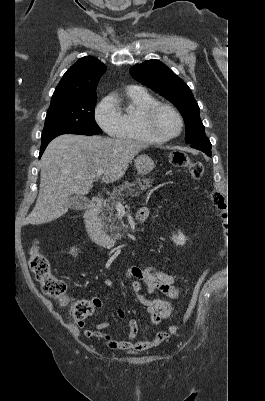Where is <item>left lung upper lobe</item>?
<instances>
[{"label":"left lung upper lobe","mask_w":265,"mask_h":401,"mask_svg":"<svg viewBox=\"0 0 265 401\" xmlns=\"http://www.w3.org/2000/svg\"><path fill=\"white\" fill-rule=\"evenodd\" d=\"M130 74L177 107L184 118L187 143L192 144L207 138L200 119L199 106L190 88L164 63L148 60L131 67Z\"/></svg>","instance_id":"1"}]
</instances>
